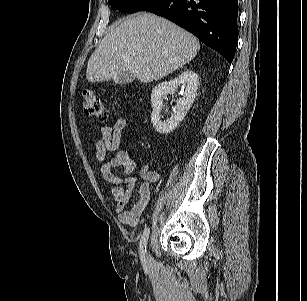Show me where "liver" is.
<instances>
[{
    "instance_id": "1",
    "label": "liver",
    "mask_w": 307,
    "mask_h": 301,
    "mask_svg": "<svg viewBox=\"0 0 307 301\" xmlns=\"http://www.w3.org/2000/svg\"><path fill=\"white\" fill-rule=\"evenodd\" d=\"M199 49L188 31L157 15L138 13L105 35L89 58L87 80L103 82L128 72L149 83L191 61Z\"/></svg>"
}]
</instances>
